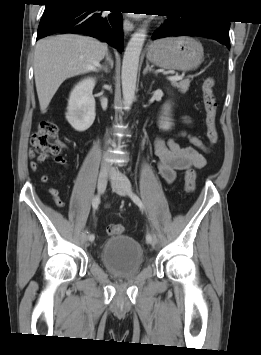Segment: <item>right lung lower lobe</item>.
I'll list each match as a JSON object with an SVG mask.
<instances>
[{
  "label": "right lung lower lobe",
  "mask_w": 261,
  "mask_h": 355,
  "mask_svg": "<svg viewBox=\"0 0 261 355\" xmlns=\"http://www.w3.org/2000/svg\"><path fill=\"white\" fill-rule=\"evenodd\" d=\"M44 2L46 8L38 27L37 40L54 33H82L103 39L119 51L123 50V22L120 13H94L97 11L95 7L100 5L87 0Z\"/></svg>",
  "instance_id": "right-lung-lower-lobe-1"
}]
</instances>
